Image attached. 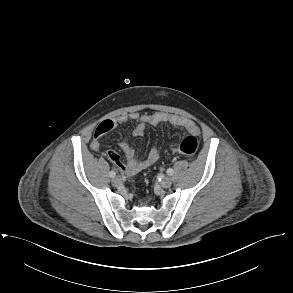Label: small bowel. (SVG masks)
I'll return each mask as SVG.
<instances>
[{
	"label": "small bowel",
	"instance_id": "c3829d8e",
	"mask_svg": "<svg viewBox=\"0 0 293 293\" xmlns=\"http://www.w3.org/2000/svg\"><path fill=\"white\" fill-rule=\"evenodd\" d=\"M136 120H138L139 123L133 130V135L135 137H142L147 126L158 127L165 123L185 129L187 132L194 135H198L200 133L199 127L195 122L179 115L156 112L153 114L140 116L138 113H129L101 121L94 131L93 139L90 144L91 148L94 151H99L101 147V139L103 136L118 126L124 125L129 121ZM119 146L127 158L126 163H123L119 155L112 150L107 151L105 155L118 169L128 175H135L138 172L148 168L159 158V151L156 147H152L144 159H138L135 155L134 149L127 141H122Z\"/></svg>",
	"mask_w": 293,
	"mask_h": 293
}]
</instances>
